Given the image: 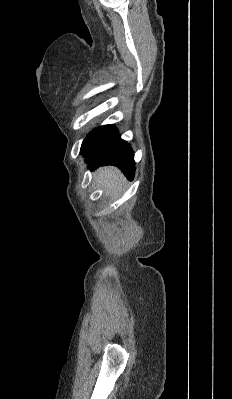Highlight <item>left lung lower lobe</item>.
I'll return each instance as SVG.
<instances>
[{"label":"left lung lower lobe","mask_w":232,"mask_h":399,"mask_svg":"<svg viewBox=\"0 0 232 399\" xmlns=\"http://www.w3.org/2000/svg\"><path fill=\"white\" fill-rule=\"evenodd\" d=\"M84 158L92 170L99 166L113 165L118 167L129 180L134 177L133 151L130 145L120 138L117 131L100 148L84 154Z\"/></svg>","instance_id":"1"}]
</instances>
